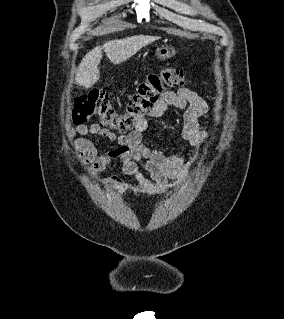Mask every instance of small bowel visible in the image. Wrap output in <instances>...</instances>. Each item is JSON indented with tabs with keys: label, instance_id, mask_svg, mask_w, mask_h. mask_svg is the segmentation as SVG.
Masks as SVG:
<instances>
[{
	"label": "small bowel",
	"instance_id": "c3829d8e",
	"mask_svg": "<svg viewBox=\"0 0 284 319\" xmlns=\"http://www.w3.org/2000/svg\"><path fill=\"white\" fill-rule=\"evenodd\" d=\"M171 107L184 110L183 139L195 147L204 145L207 132L200 127L199 120L209 111L206 100L196 92L182 87L163 94L149 116L160 118ZM148 127V121L141 119L129 134L117 135L99 124L80 125L72 130L73 136L91 134L96 141L105 138L115 142L118 147L99 154L94 143L86 138L75 139L72 146L78 153L79 162L90 165V174L94 179H99L106 166L120 161L122 172L131 176L145 194L153 196L165 192L168 182L173 181L177 185L184 180L190 166L183 165L178 154L150 149L143 139ZM106 183L123 192L129 188V183L118 176L109 177Z\"/></svg>",
	"mask_w": 284,
	"mask_h": 319
}]
</instances>
